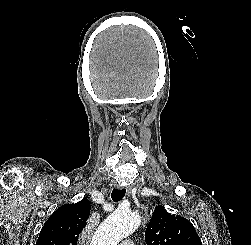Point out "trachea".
I'll return each instance as SVG.
<instances>
[{
  "label": "trachea",
  "instance_id": "1",
  "mask_svg": "<svg viewBox=\"0 0 251 245\" xmlns=\"http://www.w3.org/2000/svg\"><path fill=\"white\" fill-rule=\"evenodd\" d=\"M126 190L125 189H113L111 198L114 202H119L125 196Z\"/></svg>",
  "mask_w": 251,
  "mask_h": 245
}]
</instances>
